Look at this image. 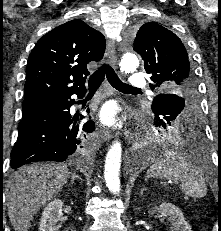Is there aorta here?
Instances as JSON below:
<instances>
[{"label": "aorta", "mask_w": 221, "mask_h": 231, "mask_svg": "<svg viewBox=\"0 0 221 231\" xmlns=\"http://www.w3.org/2000/svg\"><path fill=\"white\" fill-rule=\"evenodd\" d=\"M120 70L125 73H133L139 66V60L131 51L123 54L120 63ZM122 147L119 141H115L107 152L104 167V178L107 187L114 194L120 191L119 171L121 166ZM145 157L142 159L144 160Z\"/></svg>", "instance_id": "aorta-1"}]
</instances>
